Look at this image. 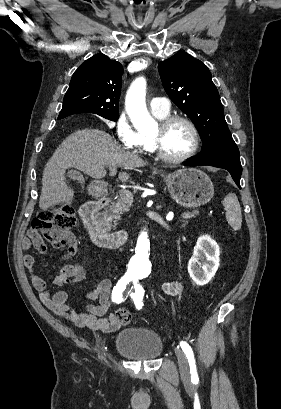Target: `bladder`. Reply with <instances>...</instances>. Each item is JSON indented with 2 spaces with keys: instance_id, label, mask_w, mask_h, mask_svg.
Masks as SVG:
<instances>
[{
  "instance_id": "obj_1",
  "label": "bladder",
  "mask_w": 281,
  "mask_h": 409,
  "mask_svg": "<svg viewBox=\"0 0 281 409\" xmlns=\"http://www.w3.org/2000/svg\"><path fill=\"white\" fill-rule=\"evenodd\" d=\"M114 352L128 360L151 362L164 352V340L154 329L132 327L121 329L113 339Z\"/></svg>"
}]
</instances>
